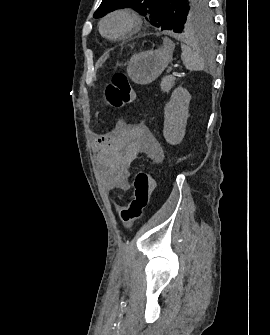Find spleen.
<instances>
[{"label": "spleen", "instance_id": "3e777b00", "mask_svg": "<svg viewBox=\"0 0 270 335\" xmlns=\"http://www.w3.org/2000/svg\"><path fill=\"white\" fill-rule=\"evenodd\" d=\"M182 54L181 60L184 62L187 70H203L204 58L198 50H192L189 46L181 44Z\"/></svg>", "mask_w": 270, "mask_h": 335}]
</instances>
